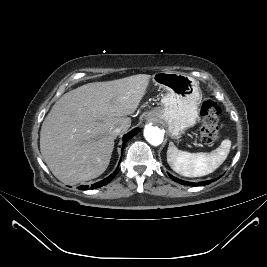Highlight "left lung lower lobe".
Wrapping results in <instances>:
<instances>
[{"label": "left lung lower lobe", "instance_id": "obj_1", "mask_svg": "<svg viewBox=\"0 0 267 267\" xmlns=\"http://www.w3.org/2000/svg\"><path fill=\"white\" fill-rule=\"evenodd\" d=\"M168 175H169V177H170L172 180H174V181H176V182H178V183H180V184L187 185V186L198 185V184H194V183H191V182H186V181L177 179L176 177H174V176H172V175H170V174H168ZM215 180H217V179L209 180V181H204V182H201L200 185H206V184H209V183H211L212 181H215Z\"/></svg>", "mask_w": 267, "mask_h": 267}]
</instances>
